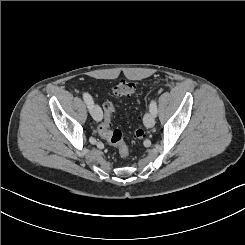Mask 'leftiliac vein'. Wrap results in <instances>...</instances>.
<instances>
[{
    "label": "left iliac vein",
    "mask_w": 245,
    "mask_h": 245,
    "mask_svg": "<svg viewBox=\"0 0 245 245\" xmlns=\"http://www.w3.org/2000/svg\"><path fill=\"white\" fill-rule=\"evenodd\" d=\"M144 124L147 128H151L155 125V118L152 113H147L144 116Z\"/></svg>",
    "instance_id": "1"
}]
</instances>
